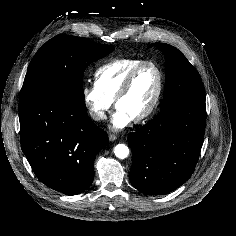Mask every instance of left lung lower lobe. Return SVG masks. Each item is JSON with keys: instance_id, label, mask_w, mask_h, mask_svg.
<instances>
[{"instance_id": "1", "label": "left lung lower lobe", "mask_w": 236, "mask_h": 236, "mask_svg": "<svg viewBox=\"0 0 236 236\" xmlns=\"http://www.w3.org/2000/svg\"><path fill=\"white\" fill-rule=\"evenodd\" d=\"M205 124V99H187L162 108L131 133L132 185L147 195L167 194L183 185L198 162Z\"/></svg>"}]
</instances>
